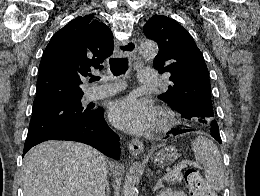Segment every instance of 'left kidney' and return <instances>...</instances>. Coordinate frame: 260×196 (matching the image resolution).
Wrapping results in <instances>:
<instances>
[{
    "mask_svg": "<svg viewBox=\"0 0 260 196\" xmlns=\"http://www.w3.org/2000/svg\"><path fill=\"white\" fill-rule=\"evenodd\" d=\"M159 196H187L185 192H179V190H171V188H166L163 192H160Z\"/></svg>",
    "mask_w": 260,
    "mask_h": 196,
    "instance_id": "obj_1",
    "label": "left kidney"
}]
</instances>
